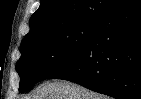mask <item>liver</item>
<instances>
[{
  "mask_svg": "<svg viewBox=\"0 0 141 99\" xmlns=\"http://www.w3.org/2000/svg\"><path fill=\"white\" fill-rule=\"evenodd\" d=\"M26 99H109L107 96L95 93L78 84L55 80L39 86Z\"/></svg>",
  "mask_w": 141,
  "mask_h": 99,
  "instance_id": "6515ba94",
  "label": "liver"
}]
</instances>
